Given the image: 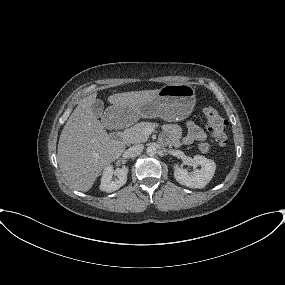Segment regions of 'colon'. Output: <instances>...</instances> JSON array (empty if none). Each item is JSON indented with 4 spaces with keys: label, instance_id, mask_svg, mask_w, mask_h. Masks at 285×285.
<instances>
[{
    "label": "colon",
    "instance_id": "1",
    "mask_svg": "<svg viewBox=\"0 0 285 285\" xmlns=\"http://www.w3.org/2000/svg\"><path fill=\"white\" fill-rule=\"evenodd\" d=\"M204 118L211 137L217 143V145L223 147L228 143V137L225 132L227 122L222 117L221 113L213 106H206L203 109ZM199 149L203 153L210 151V145L207 142H203L199 145Z\"/></svg>",
    "mask_w": 285,
    "mask_h": 285
}]
</instances>
